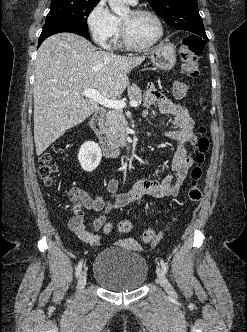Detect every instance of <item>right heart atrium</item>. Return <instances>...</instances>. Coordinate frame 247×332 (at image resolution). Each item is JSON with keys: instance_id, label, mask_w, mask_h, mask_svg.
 Listing matches in <instances>:
<instances>
[{"instance_id": "d8ad5b80", "label": "right heart atrium", "mask_w": 247, "mask_h": 332, "mask_svg": "<svg viewBox=\"0 0 247 332\" xmlns=\"http://www.w3.org/2000/svg\"><path fill=\"white\" fill-rule=\"evenodd\" d=\"M86 25L94 42L109 48L118 28V20L108 8L105 0H98L86 17Z\"/></svg>"}]
</instances>
